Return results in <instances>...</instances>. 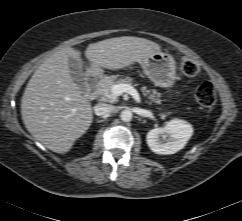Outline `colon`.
Returning <instances> with one entry per match:
<instances>
[{"label": "colon", "instance_id": "1", "mask_svg": "<svg viewBox=\"0 0 242 221\" xmlns=\"http://www.w3.org/2000/svg\"><path fill=\"white\" fill-rule=\"evenodd\" d=\"M182 72L188 77H196L200 68L199 65L190 58H183L181 62ZM197 103L204 108H210L216 101V90L211 82L202 83L196 92Z\"/></svg>", "mask_w": 242, "mask_h": 221}]
</instances>
